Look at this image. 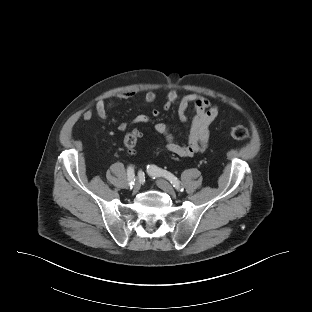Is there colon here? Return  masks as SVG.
<instances>
[{
  "mask_svg": "<svg viewBox=\"0 0 312 312\" xmlns=\"http://www.w3.org/2000/svg\"><path fill=\"white\" fill-rule=\"evenodd\" d=\"M140 135L141 131L138 128H134L126 134L124 138V146L129 154H134ZM230 135L236 140H246L249 138L250 132L246 126L236 125L231 127Z\"/></svg>",
  "mask_w": 312,
  "mask_h": 312,
  "instance_id": "5ec220e1",
  "label": "colon"
}]
</instances>
